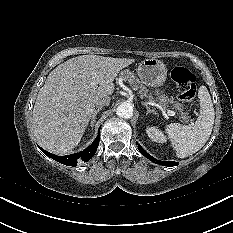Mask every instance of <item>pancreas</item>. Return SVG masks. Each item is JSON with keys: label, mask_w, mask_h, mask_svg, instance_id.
I'll use <instances>...</instances> for the list:
<instances>
[{"label": "pancreas", "mask_w": 233, "mask_h": 233, "mask_svg": "<svg viewBox=\"0 0 233 233\" xmlns=\"http://www.w3.org/2000/svg\"><path fill=\"white\" fill-rule=\"evenodd\" d=\"M120 77L123 78L124 81H128L130 85L135 90H138V93L140 94V97H149L152 98L151 94H148V89L141 83V81L135 76L134 73H132L130 70L125 69L121 71ZM159 103L163 107H173L175 110H177L180 114V119L186 121L189 119L188 112H184L182 105L174 101L172 98H169L168 96L161 95L159 96Z\"/></svg>", "instance_id": "cf45deb5"}]
</instances>
